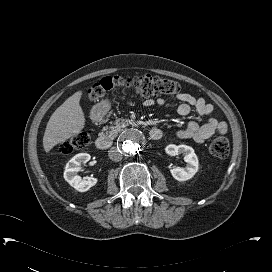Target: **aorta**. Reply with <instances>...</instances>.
Returning <instances> with one entry per match:
<instances>
[{"mask_svg": "<svg viewBox=\"0 0 272 272\" xmlns=\"http://www.w3.org/2000/svg\"><path fill=\"white\" fill-rule=\"evenodd\" d=\"M119 144L125 154L134 156L144 149L146 138L142 131L132 128L123 134Z\"/></svg>", "mask_w": 272, "mask_h": 272, "instance_id": "762f6f07", "label": "aorta"}]
</instances>
